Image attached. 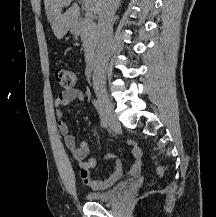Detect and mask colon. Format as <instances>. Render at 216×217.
I'll return each mask as SVG.
<instances>
[{
    "label": "colon",
    "mask_w": 216,
    "mask_h": 217,
    "mask_svg": "<svg viewBox=\"0 0 216 217\" xmlns=\"http://www.w3.org/2000/svg\"><path fill=\"white\" fill-rule=\"evenodd\" d=\"M55 78L58 84L65 90H71L75 88L77 82V76L73 71L67 69H57L55 72ZM157 173L161 175L163 169L158 166Z\"/></svg>",
    "instance_id": "obj_1"
}]
</instances>
